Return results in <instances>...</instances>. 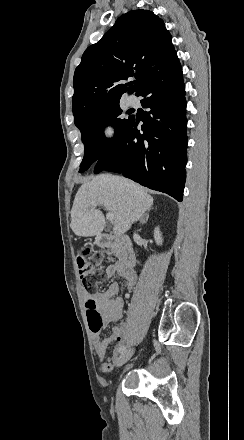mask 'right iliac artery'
<instances>
[{
	"mask_svg": "<svg viewBox=\"0 0 244 440\" xmlns=\"http://www.w3.org/2000/svg\"><path fill=\"white\" fill-rule=\"evenodd\" d=\"M126 350L125 346H121L118 350L119 353H123Z\"/></svg>",
	"mask_w": 244,
	"mask_h": 440,
	"instance_id": "obj_1",
	"label": "right iliac artery"
}]
</instances>
